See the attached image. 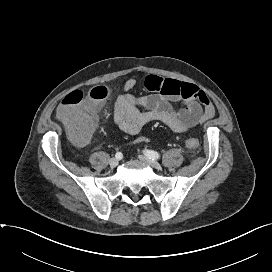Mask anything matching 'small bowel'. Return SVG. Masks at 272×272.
Returning a JSON list of instances; mask_svg holds the SVG:
<instances>
[{"label":"small bowel","instance_id":"small-bowel-1","mask_svg":"<svg viewBox=\"0 0 272 272\" xmlns=\"http://www.w3.org/2000/svg\"><path fill=\"white\" fill-rule=\"evenodd\" d=\"M136 85V78L127 79L114 106L113 121L127 134L136 135L153 121L183 133L216 114L208 95L194 84L150 74L145 77L144 85L152 93L142 97L132 95ZM173 102L182 103V108L174 109ZM146 141L145 137L137 140L138 143Z\"/></svg>","mask_w":272,"mask_h":272}]
</instances>
